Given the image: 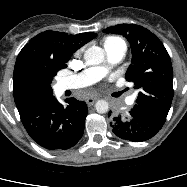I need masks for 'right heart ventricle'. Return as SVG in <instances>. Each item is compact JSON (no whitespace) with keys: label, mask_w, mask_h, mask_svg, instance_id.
<instances>
[{"label":"right heart ventricle","mask_w":187,"mask_h":187,"mask_svg":"<svg viewBox=\"0 0 187 187\" xmlns=\"http://www.w3.org/2000/svg\"><path fill=\"white\" fill-rule=\"evenodd\" d=\"M120 44H125L124 41L119 38V37H107L103 40V46L104 48H107L109 46H115V45H120Z\"/></svg>","instance_id":"e07e8e85"}]
</instances>
